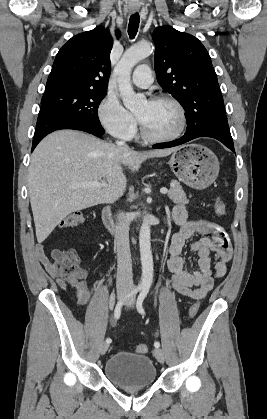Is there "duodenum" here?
<instances>
[{"label": "duodenum", "instance_id": "410a0bca", "mask_svg": "<svg viewBox=\"0 0 267 419\" xmlns=\"http://www.w3.org/2000/svg\"><path fill=\"white\" fill-rule=\"evenodd\" d=\"M102 221L108 231L112 233L115 231V221L113 218V211L110 206H106L103 208Z\"/></svg>", "mask_w": 267, "mask_h": 419}]
</instances>
